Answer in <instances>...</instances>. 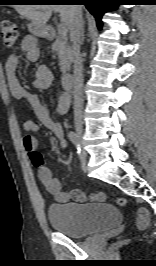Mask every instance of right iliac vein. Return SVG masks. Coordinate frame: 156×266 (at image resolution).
<instances>
[{
    "label": "right iliac vein",
    "mask_w": 156,
    "mask_h": 266,
    "mask_svg": "<svg viewBox=\"0 0 156 266\" xmlns=\"http://www.w3.org/2000/svg\"><path fill=\"white\" fill-rule=\"evenodd\" d=\"M75 130H76V133L79 136V139L81 141L82 135H83V127H82V124L80 122H76ZM82 158H86V153L84 151L82 153Z\"/></svg>",
    "instance_id": "right-iliac-vein-1"
}]
</instances>
